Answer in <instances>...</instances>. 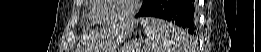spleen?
Here are the masks:
<instances>
[{"instance_id": "obj_1", "label": "spleen", "mask_w": 261, "mask_h": 52, "mask_svg": "<svg viewBox=\"0 0 261 52\" xmlns=\"http://www.w3.org/2000/svg\"><path fill=\"white\" fill-rule=\"evenodd\" d=\"M142 23L147 36L144 52H194L191 37L172 23L153 18Z\"/></svg>"}]
</instances>
